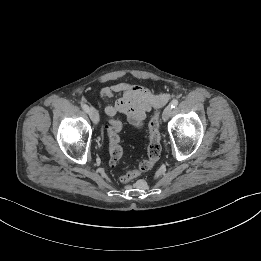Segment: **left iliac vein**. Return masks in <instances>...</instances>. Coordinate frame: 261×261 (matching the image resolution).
<instances>
[{
  "instance_id": "1",
  "label": "left iliac vein",
  "mask_w": 261,
  "mask_h": 261,
  "mask_svg": "<svg viewBox=\"0 0 261 261\" xmlns=\"http://www.w3.org/2000/svg\"><path fill=\"white\" fill-rule=\"evenodd\" d=\"M171 113H172V108L170 105H168L167 107H165V109L162 113L163 121H167L169 119V117L171 116Z\"/></svg>"
}]
</instances>
